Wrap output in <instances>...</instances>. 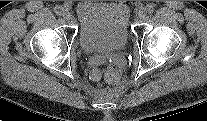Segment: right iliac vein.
I'll return each instance as SVG.
<instances>
[{"label": "right iliac vein", "instance_id": "63e3f726", "mask_svg": "<svg viewBox=\"0 0 207 121\" xmlns=\"http://www.w3.org/2000/svg\"><path fill=\"white\" fill-rule=\"evenodd\" d=\"M62 15L65 20H70L72 18V14L69 10H64Z\"/></svg>", "mask_w": 207, "mask_h": 121}]
</instances>
